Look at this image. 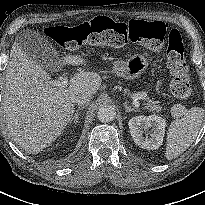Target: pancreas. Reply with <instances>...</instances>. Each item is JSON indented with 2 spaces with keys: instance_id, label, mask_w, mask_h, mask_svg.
<instances>
[{
  "instance_id": "pancreas-1",
  "label": "pancreas",
  "mask_w": 205,
  "mask_h": 205,
  "mask_svg": "<svg viewBox=\"0 0 205 205\" xmlns=\"http://www.w3.org/2000/svg\"><path fill=\"white\" fill-rule=\"evenodd\" d=\"M139 98H142L144 100L143 105L145 109L156 112H160L162 110V106L158 104V101H154L153 99H149L148 97H146L145 92L139 94Z\"/></svg>"
}]
</instances>
